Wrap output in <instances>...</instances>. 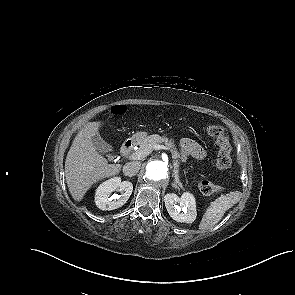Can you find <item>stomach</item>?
<instances>
[{"label": "stomach", "mask_w": 295, "mask_h": 295, "mask_svg": "<svg viewBox=\"0 0 295 295\" xmlns=\"http://www.w3.org/2000/svg\"><path fill=\"white\" fill-rule=\"evenodd\" d=\"M147 137L148 136L146 132H137L132 136L131 140L139 144L143 142Z\"/></svg>", "instance_id": "stomach-1"}]
</instances>
